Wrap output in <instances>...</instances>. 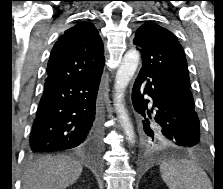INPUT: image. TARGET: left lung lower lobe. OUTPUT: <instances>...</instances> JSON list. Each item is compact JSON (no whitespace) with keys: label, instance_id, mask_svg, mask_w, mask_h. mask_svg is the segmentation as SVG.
<instances>
[{"label":"left lung lower lobe","instance_id":"1","mask_svg":"<svg viewBox=\"0 0 223 189\" xmlns=\"http://www.w3.org/2000/svg\"><path fill=\"white\" fill-rule=\"evenodd\" d=\"M147 94L153 100L152 106ZM132 103L139 116L141 132L154 136L155 130L181 150H197L202 146L197 113L177 101L163 82L142 67L132 89Z\"/></svg>","mask_w":223,"mask_h":189}]
</instances>
